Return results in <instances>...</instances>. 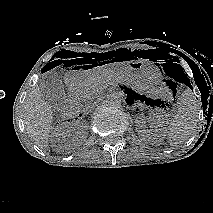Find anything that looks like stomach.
Listing matches in <instances>:
<instances>
[{"mask_svg":"<svg viewBox=\"0 0 213 213\" xmlns=\"http://www.w3.org/2000/svg\"><path fill=\"white\" fill-rule=\"evenodd\" d=\"M106 77L121 76L143 89L153 88L160 82L159 68L152 62L146 60H135L127 63H111L109 65H98L88 71H80L70 74L67 82L70 85L87 84L93 80H101Z\"/></svg>","mask_w":213,"mask_h":213,"instance_id":"stomach-1","label":"stomach"}]
</instances>
